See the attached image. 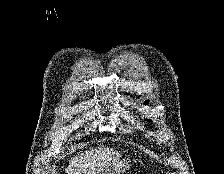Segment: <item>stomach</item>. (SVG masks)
Returning <instances> with one entry per match:
<instances>
[{"mask_svg": "<svg viewBox=\"0 0 224 174\" xmlns=\"http://www.w3.org/2000/svg\"><path fill=\"white\" fill-rule=\"evenodd\" d=\"M128 162H118L115 165H113L112 168L107 169L105 172L99 173V174H121L123 171L129 168Z\"/></svg>", "mask_w": 224, "mask_h": 174, "instance_id": "obj_1", "label": "stomach"}]
</instances>
